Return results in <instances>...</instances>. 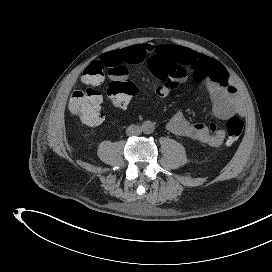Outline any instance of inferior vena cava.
<instances>
[{"label": "inferior vena cava", "instance_id": "1", "mask_svg": "<svg viewBox=\"0 0 272 272\" xmlns=\"http://www.w3.org/2000/svg\"><path fill=\"white\" fill-rule=\"evenodd\" d=\"M142 132L141 127L137 126V125H130L127 127L126 129V134L128 136H132V135H140Z\"/></svg>", "mask_w": 272, "mask_h": 272}]
</instances>
